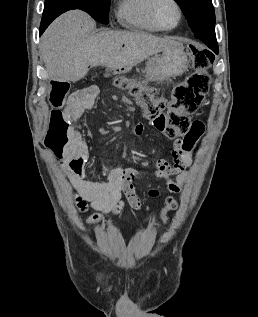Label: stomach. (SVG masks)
Wrapping results in <instances>:
<instances>
[{
	"instance_id": "obj_1",
	"label": "stomach",
	"mask_w": 258,
	"mask_h": 317,
	"mask_svg": "<svg viewBox=\"0 0 258 317\" xmlns=\"http://www.w3.org/2000/svg\"><path fill=\"white\" fill-rule=\"evenodd\" d=\"M189 64L188 56L185 52L184 44L162 50V54L158 56H150L147 58L146 70L148 74H162V76H177L187 70Z\"/></svg>"
}]
</instances>
